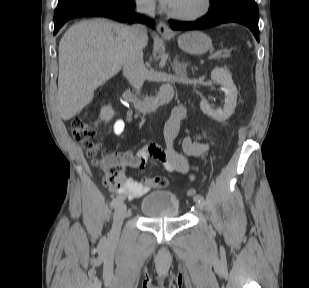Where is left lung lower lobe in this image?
<instances>
[{
    "label": "left lung lower lobe",
    "instance_id": "0a47b994",
    "mask_svg": "<svg viewBox=\"0 0 309 288\" xmlns=\"http://www.w3.org/2000/svg\"><path fill=\"white\" fill-rule=\"evenodd\" d=\"M258 18L259 13L254 0H223L211 7L210 11L198 21L170 20L169 25L174 30H196L237 22L247 26L259 42Z\"/></svg>",
    "mask_w": 309,
    "mask_h": 288
}]
</instances>
